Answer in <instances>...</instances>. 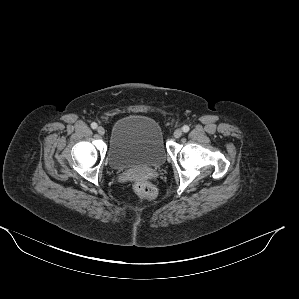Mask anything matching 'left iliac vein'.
<instances>
[{
    "mask_svg": "<svg viewBox=\"0 0 299 299\" xmlns=\"http://www.w3.org/2000/svg\"><path fill=\"white\" fill-rule=\"evenodd\" d=\"M182 134H183V131L181 130V129H176L175 131H174V137L175 138H179V137H181L182 136Z\"/></svg>",
    "mask_w": 299,
    "mask_h": 299,
    "instance_id": "obj_1",
    "label": "left iliac vein"
}]
</instances>
